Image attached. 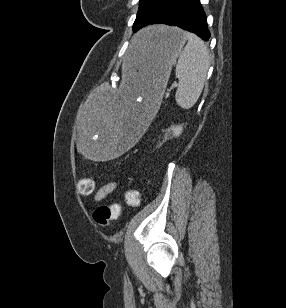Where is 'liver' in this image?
Here are the masks:
<instances>
[{"instance_id": "obj_1", "label": "liver", "mask_w": 286, "mask_h": 308, "mask_svg": "<svg viewBox=\"0 0 286 308\" xmlns=\"http://www.w3.org/2000/svg\"><path fill=\"white\" fill-rule=\"evenodd\" d=\"M136 54V49H135V47H134V55Z\"/></svg>"}]
</instances>
